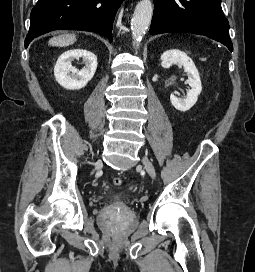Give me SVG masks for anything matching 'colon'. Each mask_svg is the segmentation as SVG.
I'll return each instance as SVG.
<instances>
[{
	"label": "colon",
	"instance_id": "1",
	"mask_svg": "<svg viewBox=\"0 0 255 272\" xmlns=\"http://www.w3.org/2000/svg\"><path fill=\"white\" fill-rule=\"evenodd\" d=\"M112 182L115 186H120L122 184V179L120 177H114Z\"/></svg>",
	"mask_w": 255,
	"mask_h": 272
}]
</instances>
